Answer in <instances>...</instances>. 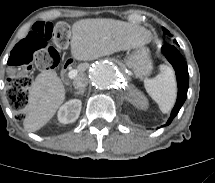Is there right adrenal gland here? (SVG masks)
I'll return each instance as SVG.
<instances>
[{
  "label": "right adrenal gland",
  "instance_id": "1",
  "mask_svg": "<svg viewBox=\"0 0 215 183\" xmlns=\"http://www.w3.org/2000/svg\"><path fill=\"white\" fill-rule=\"evenodd\" d=\"M84 92H85V89H81L79 91H75L74 94L75 95H83Z\"/></svg>",
  "mask_w": 215,
  "mask_h": 183
}]
</instances>
